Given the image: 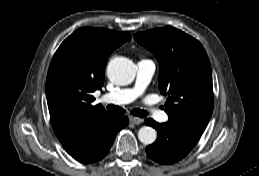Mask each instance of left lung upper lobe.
<instances>
[{"instance_id":"5c2ea615","label":"left lung upper lobe","mask_w":259,"mask_h":176,"mask_svg":"<svg viewBox=\"0 0 259 176\" xmlns=\"http://www.w3.org/2000/svg\"><path fill=\"white\" fill-rule=\"evenodd\" d=\"M134 39L159 61L167 123L202 135L213 111V87L210 62L201 43L170 26L134 34Z\"/></svg>"}]
</instances>
